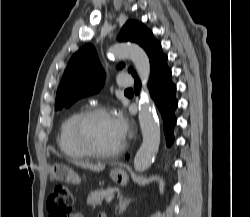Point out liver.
<instances>
[{
  "label": "liver",
  "mask_w": 250,
  "mask_h": 217,
  "mask_svg": "<svg viewBox=\"0 0 250 217\" xmlns=\"http://www.w3.org/2000/svg\"><path fill=\"white\" fill-rule=\"evenodd\" d=\"M76 164L83 168L90 169L92 171H102L105 168L104 165H94V164L84 163V162H77Z\"/></svg>",
  "instance_id": "liver-1"
}]
</instances>
